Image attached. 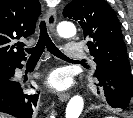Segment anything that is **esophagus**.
I'll return each mask as SVG.
<instances>
[{
    "label": "esophagus",
    "instance_id": "obj_1",
    "mask_svg": "<svg viewBox=\"0 0 133 118\" xmlns=\"http://www.w3.org/2000/svg\"><path fill=\"white\" fill-rule=\"evenodd\" d=\"M56 10L54 8H49L46 11V22L50 32L55 35V27H56ZM60 101L64 102L70 98V94L67 92L60 93L58 95Z\"/></svg>",
    "mask_w": 133,
    "mask_h": 118
}]
</instances>
